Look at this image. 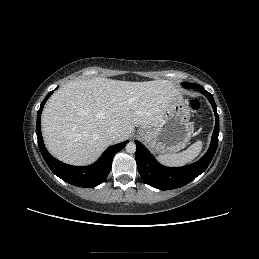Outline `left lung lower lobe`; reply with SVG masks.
Segmentation results:
<instances>
[{"label":"left lung lower lobe","mask_w":259,"mask_h":259,"mask_svg":"<svg viewBox=\"0 0 259 259\" xmlns=\"http://www.w3.org/2000/svg\"><path fill=\"white\" fill-rule=\"evenodd\" d=\"M197 89L208 98L213 107L216 120L210 147L207 153L199 161L179 168L165 167L155 160L142 143L135 141L137 145L135 158L138 171L142 179L154 188L170 190L188 184L206 170L216 152L219 135V116L217 114V106L213 96L202 86L198 85Z\"/></svg>","instance_id":"0a47b994"}]
</instances>
